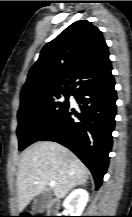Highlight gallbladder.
<instances>
[{
    "instance_id": "1",
    "label": "gallbladder",
    "mask_w": 132,
    "mask_h": 217,
    "mask_svg": "<svg viewBox=\"0 0 132 217\" xmlns=\"http://www.w3.org/2000/svg\"><path fill=\"white\" fill-rule=\"evenodd\" d=\"M53 198V193L51 191H44L39 194L33 201L32 210L37 213L44 212Z\"/></svg>"
}]
</instances>
